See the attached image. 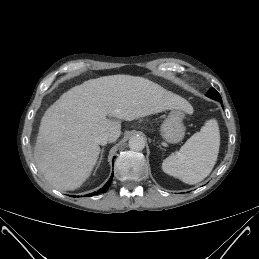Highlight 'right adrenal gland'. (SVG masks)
Masks as SVG:
<instances>
[{"label": "right adrenal gland", "mask_w": 259, "mask_h": 259, "mask_svg": "<svg viewBox=\"0 0 259 259\" xmlns=\"http://www.w3.org/2000/svg\"><path fill=\"white\" fill-rule=\"evenodd\" d=\"M103 153H104V148H102V150H101L100 159H99L98 165H97V167L95 169V172H96V170L99 168V166L101 164V161H102V158H103Z\"/></svg>", "instance_id": "2a0ac1e0"}]
</instances>
